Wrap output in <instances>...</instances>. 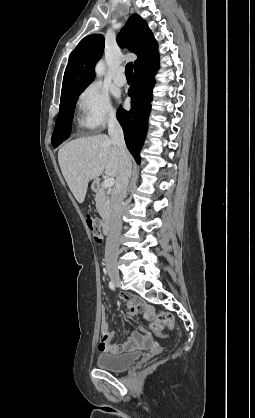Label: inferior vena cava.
<instances>
[{
	"instance_id": "inferior-vena-cava-1",
	"label": "inferior vena cava",
	"mask_w": 255,
	"mask_h": 418,
	"mask_svg": "<svg viewBox=\"0 0 255 418\" xmlns=\"http://www.w3.org/2000/svg\"><path fill=\"white\" fill-rule=\"evenodd\" d=\"M108 133L118 147L120 160L115 187L111 194L109 227L105 245V260L116 261L119 254V236L122 227V202L131 176V158L126 148L123 130L114 114L108 120Z\"/></svg>"
}]
</instances>
